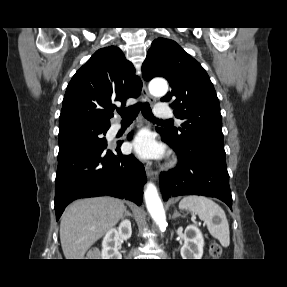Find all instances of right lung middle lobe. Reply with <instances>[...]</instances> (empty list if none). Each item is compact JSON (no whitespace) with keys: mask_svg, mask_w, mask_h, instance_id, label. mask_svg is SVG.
Segmentation results:
<instances>
[{"mask_svg":"<svg viewBox=\"0 0 287 287\" xmlns=\"http://www.w3.org/2000/svg\"><path fill=\"white\" fill-rule=\"evenodd\" d=\"M110 126L89 122L70 123L59 127V149L73 143L106 144L103 137Z\"/></svg>","mask_w":287,"mask_h":287,"instance_id":"right-lung-middle-lobe-1","label":"right lung middle lobe"}]
</instances>
